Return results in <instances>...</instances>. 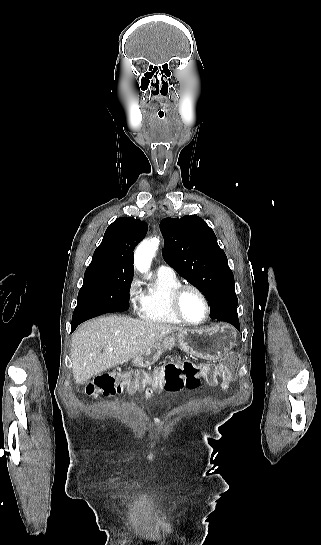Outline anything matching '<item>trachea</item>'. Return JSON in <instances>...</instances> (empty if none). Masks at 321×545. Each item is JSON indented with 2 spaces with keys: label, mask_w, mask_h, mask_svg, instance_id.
<instances>
[{
  "label": "trachea",
  "mask_w": 321,
  "mask_h": 545,
  "mask_svg": "<svg viewBox=\"0 0 321 545\" xmlns=\"http://www.w3.org/2000/svg\"><path fill=\"white\" fill-rule=\"evenodd\" d=\"M157 113H158V115H160V116H159L160 119H162V120L165 119L166 116H165V114H163V113H164L163 110L160 109V110H158Z\"/></svg>",
  "instance_id": "3493384b"
}]
</instances>
